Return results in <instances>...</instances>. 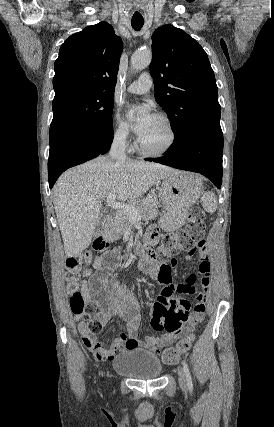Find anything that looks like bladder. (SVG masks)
<instances>
[{"mask_svg":"<svg viewBox=\"0 0 274 427\" xmlns=\"http://www.w3.org/2000/svg\"><path fill=\"white\" fill-rule=\"evenodd\" d=\"M116 374L126 375L134 380L161 378L164 372L161 360L148 350L127 349L113 358Z\"/></svg>","mask_w":274,"mask_h":427,"instance_id":"bladder-1","label":"bladder"}]
</instances>
